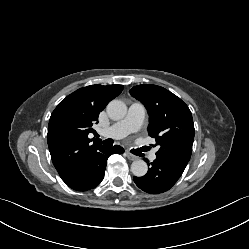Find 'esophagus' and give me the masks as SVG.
I'll list each match as a JSON object with an SVG mask.
<instances>
[{"instance_id": "34e87169", "label": "esophagus", "mask_w": 249, "mask_h": 249, "mask_svg": "<svg viewBox=\"0 0 249 249\" xmlns=\"http://www.w3.org/2000/svg\"><path fill=\"white\" fill-rule=\"evenodd\" d=\"M125 154H126V156H127V158H128L129 160H137V159H138L137 156L133 155V154L130 153L129 151H126Z\"/></svg>"}]
</instances>
